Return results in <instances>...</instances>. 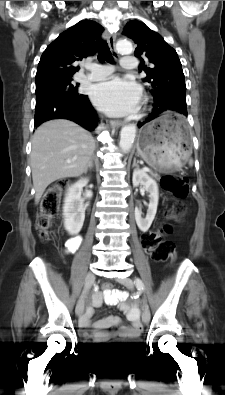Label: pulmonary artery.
<instances>
[{
	"instance_id": "obj_1",
	"label": "pulmonary artery",
	"mask_w": 225,
	"mask_h": 395,
	"mask_svg": "<svg viewBox=\"0 0 225 395\" xmlns=\"http://www.w3.org/2000/svg\"><path fill=\"white\" fill-rule=\"evenodd\" d=\"M121 66L126 70H133L137 66V61L134 57L126 56L121 59ZM113 72V67L110 65H93L91 72L84 76L88 81H101L108 78Z\"/></svg>"
}]
</instances>
